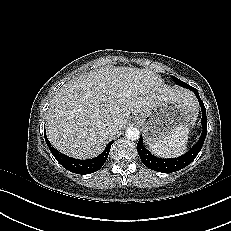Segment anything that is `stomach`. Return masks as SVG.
Here are the masks:
<instances>
[{
  "mask_svg": "<svg viewBox=\"0 0 231 231\" xmlns=\"http://www.w3.org/2000/svg\"><path fill=\"white\" fill-rule=\"evenodd\" d=\"M188 107L177 101H165L147 113L135 115L148 145L171 134L190 121Z\"/></svg>",
  "mask_w": 231,
  "mask_h": 231,
  "instance_id": "obj_1",
  "label": "stomach"
}]
</instances>
